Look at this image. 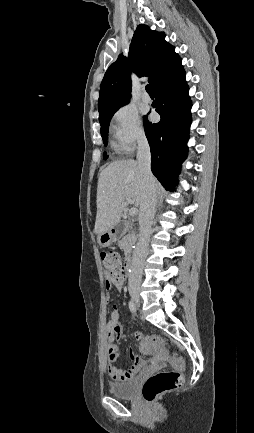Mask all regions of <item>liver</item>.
<instances>
[{
  "mask_svg": "<svg viewBox=\"0 0 254 433\" xmlns=\"http://www.w3.org/2000/svg\"><path fill=\"white\" fill-rule=\"evenodd\" d=\"M143 187L138 163L132 159L112 162L103 169L98 179L94 232L99 236L120 222L127 207L126 198L140 206Z\"/></svg>",
  "mask_w": 254,
  "mask_h": 433,
  "instance_id": "liver-1",
  "label": "liver"
}]
</instances>
